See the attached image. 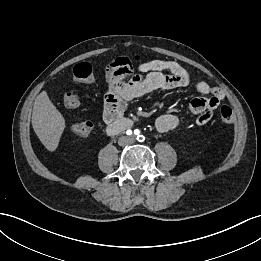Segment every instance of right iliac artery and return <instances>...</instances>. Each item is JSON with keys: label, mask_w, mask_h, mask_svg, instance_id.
<instances>
[{"label": "right iliac artery", "mask_w": 261, "mask_h": 261, "mask_svg": "<svg viewBox=\"0 0 261 261\" xmlns=\"http://www.w3.org/2000/svg\"><path fill=\"white\" fill-rule=\"evenodd\" d=\"M127 135H131L132 134V131L131 130H127Z\"/></svg>", "instance_id": "82829eb1"}]
</instances>
